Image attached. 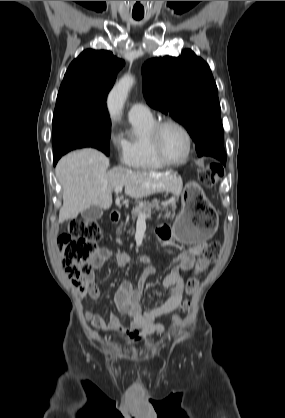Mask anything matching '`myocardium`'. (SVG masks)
I'll list each match as a JSON object with an SVG mask.
<instances>
[{
  "label": "myocardium",
  "instance_id": "obj_1",
  "mask_svg": "<svg viewBox=\"0 0 285 418\" xmlns=\"http://www.w3.org/2000/svg\"><path fill=\"white\" fill-rule=\"evenodd\" d=\"M175 126L177 128H179L185 135L186 140H187V150L185 155L183 156V158H181L180 160H170L164 153L161 144H160V135L162 130L169 126ZM149 144L153 150L154 155L157 157V159H159L161 162L165 163L166 165H181L184 164L188 161V159L191 156L192 153V149H193V139H192V135L190 133V131L188 130V128L183 125L181 122L174 120V119H164L161 120L157 123H155V125L153 126L150 134H149Z\"/></svg>",
  "mask_w": 285,
  "mask_h": 418
}]
</instances>
